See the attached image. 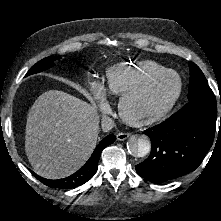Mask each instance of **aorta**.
<instances>
[{
  "label": "aorta",
  "mask_w": 221,
  "mask_h": 221,
  "mask_svg": "<svg viewBox=\"0 0 221 221\" xmlns=\"http://www.w3.org/2000/svg\"><path fill=\"white\" fill-rule=\"evenodd\" d=\"M127 149L134 157H144L151 149V142L145 135L132 136L127 142Z\"/></svg>",
  "instance_id": "1"
}]
</instances>
